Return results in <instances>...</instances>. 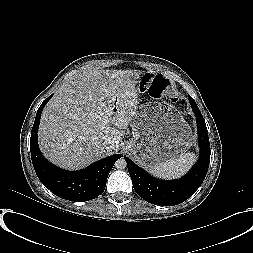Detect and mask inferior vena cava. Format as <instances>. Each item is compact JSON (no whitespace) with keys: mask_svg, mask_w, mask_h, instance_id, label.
Returning a JSON list of instances; mask_svg holds the SVG:
<instances>
[{"mask_svg":"<svg viewBox=\"0 0 253 253\" xmlns=\"http://www.w3.org/2000/svg\"><path fill=\"white\" fill-rule=\"evenodd\" d=\"M113 144V141L111 140V139H106L103 143H102V145H103V147L104 148H108L109 146H111Z\"/></svg>","mask_w":253,"mask_h":253,"instance_id":"inferior-vena-cava-1","label":"inferior vena cava"}]
</instances>
